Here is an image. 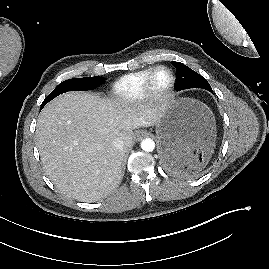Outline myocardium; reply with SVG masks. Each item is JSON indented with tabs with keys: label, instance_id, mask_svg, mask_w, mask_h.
I'll return each mask as SVG.
<instances>
[{
	"label": "myocardium",
	"instance_id": "1",
	"mask_svg": "<svg viewBox=\"0 0 269 269\" xmlns=\"http://www.w3.org/2000/svg\"><path fill=\"white\" fill-rule=\"evenodd\" d=\"M164 70L169 74L168 85L158 91L154 88V78L158 71ZM176 77L174 72L167 66L158 65L151 69L143 86V97L151 102L162 103L166 101L174 90Z\"/></svg>",
	"mask_w": 269,
	"mask_h": 269
}]
</instances>
